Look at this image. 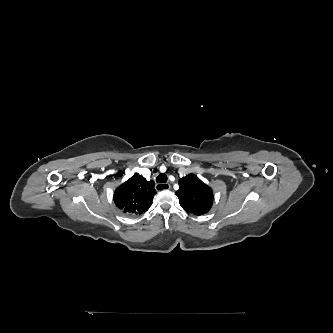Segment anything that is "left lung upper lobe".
Instances as JSON below:
<instances>
[{"label":"left lung upper lobe","instance_id":"left-lung-upper-lobe-1","mask_svg":"<svg viewBox=\"0 0 333 333\" xmlns=\"http://www.w3.org/2000/svg\"><path fill=\"white\" fill-rule=\"evenodd\" d=\"M182 208L190 213L201 215L207 213L213 203V193L196 175L189 174L179 180L176 191Z\"/></svg>","mask_w":333,"mask_h":333}]
</instances>
